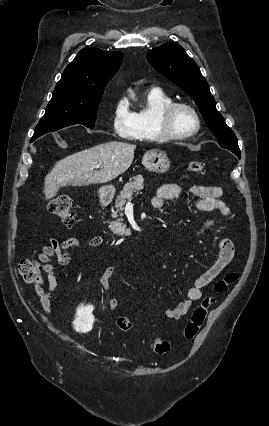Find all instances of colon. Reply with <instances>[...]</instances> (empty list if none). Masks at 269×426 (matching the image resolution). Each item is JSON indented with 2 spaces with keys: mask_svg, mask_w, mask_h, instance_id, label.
<instances>
[{
  "mask_svg": "<svg viewBox=\"0 0 269 426\" xmlns=\"http://www.w3.org/2000/svg\"><path fill=\"white\" fill-rule=\"evenodd\" d=\"M188 166L192 172L199 174L205 172V165L203 162L191 161ZM48 209L51 214L58 218L63 224L70 225L74 222V210L72 200L69 196L59 195L53 198L48 204ZM17 269L24 282L33 285L41 283L42 267L36 260L29 258L22 259L19 261ZM237 280L238 274L236 272L226 274L215 283L214 292H226ZM214 301L215 298L213 296L207 295L193 310L190 320L184 329V336L186 339L192 340L197 335ZM117 326L121 331L128 332L132 329L133 324L129 318L119 317L117 319ZM152 348L156 353L165 354L170 351V343L167 340L156 338L152 342Z\"/></svg>",
  "mask_w": 269,
  "mask_h": 426,
  "instance_id": "5ec220e1",
  "label": "colon"
}]
</instances>
